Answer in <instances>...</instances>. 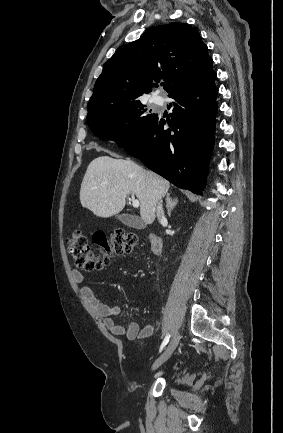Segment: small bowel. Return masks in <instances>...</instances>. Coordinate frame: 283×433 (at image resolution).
<instances>
[{
  "label": "small bowel",
  "instance_id": "small-bowel-1",
  "mask_svg": "<svg viewBox=\"0 0 283 433\" xmlns=\"http://www.w3.org/2000/svg\"><path fill=\"white\" fill-rule=\"evenodd\" d=\"M73 278L76 283L80 284L79 290L81 296L94 308L97 314L103 319L106 328L115 335L125 336L129 340H143L152 336L154 325L147 323L144 327H140L138 322H131L127 327L117 323L115 320L122 314V308L118 300H115L112 305L101 302L95 295L90 286L82 284L85 276L79 270L73 271Z\"/></svg>",
  "mask_w": 283,
  "mask_h": 433
}]
</instances>
